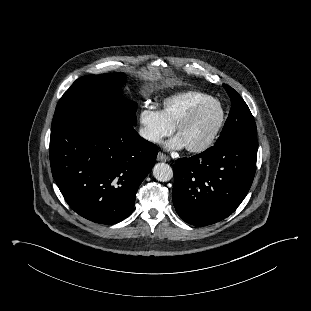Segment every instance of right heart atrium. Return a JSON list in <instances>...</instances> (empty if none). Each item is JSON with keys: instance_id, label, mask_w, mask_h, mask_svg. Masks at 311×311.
<instances>
[{"instance_id": "1", "label": "right heart atrium", "mask_w": 311, "mask_h": 311, "mask_svg": "<svg viewBox=\"0 0 311 311\" xmlns=\"http://www.w3.org/2000/svg\"><path fill=\"white\" fill-rule=\"evenodd\" d=\"M139 122L142 137L150 143H159L173 131V127L164 119L161 112L151 107L140 112Z\"/></svg>"}]
</instances>
